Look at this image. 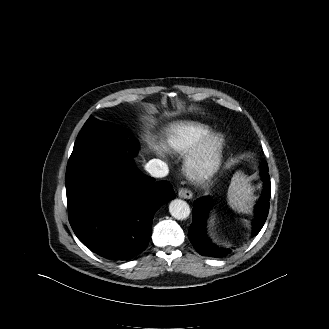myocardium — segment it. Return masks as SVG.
<instances>
[{
    "instance_id": "obj_1",
    "label": "myocardium",
    "mask_w": 329,
    "mask_h": 329,
    "mask_svg": "<svg viewBox=\"0 0 329 329\" xmlns=\"http://www.w3.org/2000/svg\"><path fill=\"white\" fill-rule=\"evenodd\" d=\"M225 148V138L220 133L206 136L186 156L184 168L187 176L195 182L212 178L222 166Z\"/></svg>"
}]
</instances>
